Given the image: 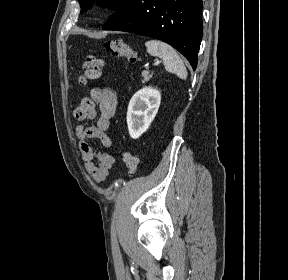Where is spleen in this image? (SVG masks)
I'll use <instances>...</instances> for the list:
<instances>
[{"instance_id": "1", "label": "spleen", "mask_w": 288, "mask_h": 280, "mask_svg": "<svg viewBox=\"0 0 288 280\" xmlns=\"http://www.w3.org/2000/svg\"><path fill=\"white\" fill-rule=\"evenodd\" d=\"M145 46L150 55L163 60L167 71L175 73L181 79L187 78V69L173 47L159 40H149Z\"/></svg>"}]
</instances>
